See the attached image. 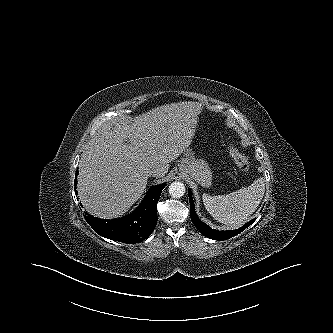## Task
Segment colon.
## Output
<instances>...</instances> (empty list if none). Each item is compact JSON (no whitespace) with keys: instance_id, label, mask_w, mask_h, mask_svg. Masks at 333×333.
Instances as JSON below:
<instances>
[{"instance_id":"obj_1","label":"colon","mask_w":333,"mask_h":333,"mask_svg":"<svg viewBox=\"0 0 333 333\" xmlns=\"http://www.w3.org/2000/svg\"><path fill=\"white\" fill-rule=\"evenodd\" d=\"M228 152L234 165L239 171L246 173L250 170V162L248 158L241 153L235 145H229Z\"/></svg>"}]
</instances>
